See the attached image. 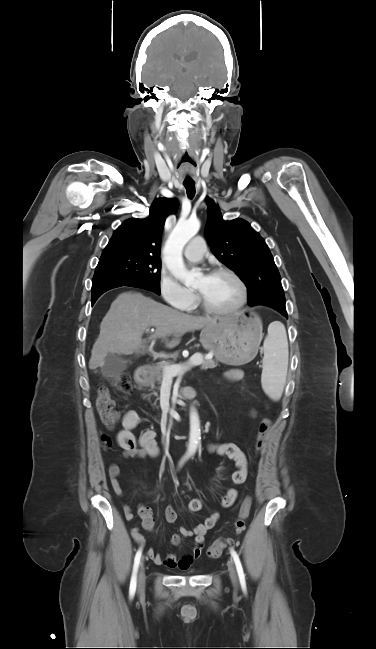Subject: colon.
I'll use <instances>...</instances> for the list:
<instances>
[{"label": "colon", "instance_id": "colon-1", "mask_svg": "<svg viewBox=\"0 0 376 649\" xmlns=\"http://www.w3.org/2000/svg\"><path fill=\"white\" fill-rule=\"evenodd\" d=\"M112 386L119 392L128 393L131 391V381L126 374H121L111 380ZM96 408L102 422L107 428H113L119 419V414L115 410L114 401L111 397L110 390L107 386H101L96 399ZM271 429L269 418H261L257 426V448L260 450ZM103 442L109 444V439L104 436ZM252 506V497L247 496L240 507L239 514L234 524L235 533H240L245 528V522L250 514ZM227 539H218L208 548V555L212 558L219 557L227 544Z\"/></svg>", "mask_w": 376, "mask_h": 649}]
</instances>
